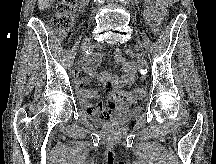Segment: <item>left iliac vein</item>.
Listing matches in <instances>:
<instances>
[{"label":"left iliac vein","mask_w":216,"mask_h":164,"mask_svg":"<svg viewBox=\"0 0 216 164\" xmlns=\"http://www.w3.org/2000/svg\"><path fill=\"white\" fill-rule=\"evenodd\" d=\"M144 64H145V63L142 61L141 64H140V67H141V68H144Z\"/></svg>","instance_id":"left-iliac-vein-1"}]
</instances>
